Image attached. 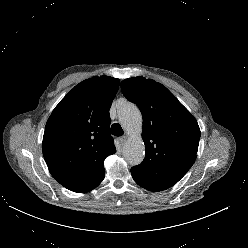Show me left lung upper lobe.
<instances>
[{"mask_svg":"<svg viewBox=\"0 0 248 248\" xmlns=\"http://www.w3.org/2000/svg\"><path fill=\"white\" fill-rule=\"evenodd\" d=\"M124 96L143 117L146 155L131 168L135 182L149 191L176 184L196 159L200 129L194 116L162 84L138 76L121 82Z\"/></svg>","mask_w":248,"mask_h":248,"instance_id":"1","label":"left lung upper lobe"}]
</instances>
